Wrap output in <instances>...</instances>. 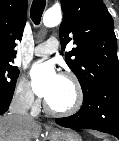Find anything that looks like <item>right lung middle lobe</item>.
Segmentation results:
<instances>
[{"instance_id": "1", "label": "right lung middle lobe", "mask_w": 119, "mask_h": 141, "mask_svg": "<svg viewBox=\"0 0 119 141\" xmlns=\"http://www.w3.org/2000/svg\"><path fill=\"white\" fill-rule=\"evenodd\" d=\"M12 60L0 61V95L12 96L19 75L17 67L12 66Z\"/></svg>"}]
</instances>
